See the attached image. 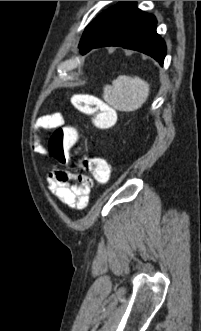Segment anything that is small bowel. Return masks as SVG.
I'll list each match as a JSON object with an SVG mask.
<instances>
[{
	"instance_id": "c3829d8e",
	"label": "small bowel",
	"mask_w": 201,
	"mask_h": 331,
	"mask_svg": "<svg viewBox=\"0 0 201 331\" xmlns=\"http://www.w3.org/2000/svg\"><path fill=\"white\" fill-rule=\"evenodd\" d=\"M63 125L64 119L59 113L39 117L34 127L33 151L41 155L47 154L41 140V132ZM46 179L50 191L68 207L82 210L88 204L93 180L86 174H73L68 169L57 167L47 173Z\"/></svg>"
}]
</instances>
